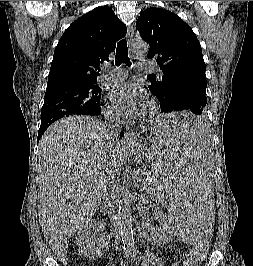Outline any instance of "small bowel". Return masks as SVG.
<instances>
[{"instance_id":"c3829d8e","label":"small bowel","mask_w":253,"mask_h":266,"mask_svg":"<svg viewBox=\"0 0 253 266\" xmlns=\"http://www.w3.org/2000/svg\"><path fill=\"white\" fill-rule=\"evenodd\" d=\"M112 266H116V265H112ZM145 266H164V263L160 258L152 254H148L145 256ZM173 266H177V264H174Z\"/></svg>"}]
</instances>
